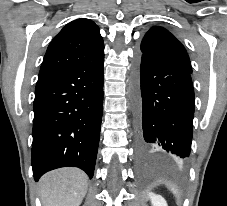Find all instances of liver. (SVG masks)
<instances>
[{
    "mask_svg": "<svg viewBox=\"0 0 227 206\" xmlns=\"http://www.w3.org/2000/svg\"><path fill=\"white\" fill-rule=\"evenodd\" d=\"M43 206H80L88 187V177L80 169L62 168L46 173L40 180Z\"/></svg>",
    "mask_w": 227,
    "mask_h": 206,
    "instance_id": "obj_1",
    "label": "liver"
}]
</instances>
